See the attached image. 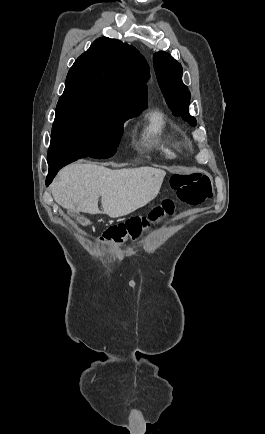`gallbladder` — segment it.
<instances>
[{
    "label": "gallbladder",
    "mask_w": 265,
    "mask_h": 434,
    "mask_svg": "<svg viewBox=\"0 0 265 434\" xmlns=\"http://www.w3.org/2000/svg\"><path fill=\"white\" fill-rule=\"evenodd\" d=\"M78 221L81 222V224H85V216L84 215H79L78 216Z\"/></svg>",
    "instance_id": "bac80fb5"
}]
</instances>
